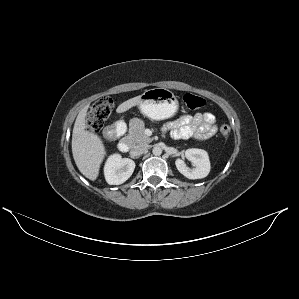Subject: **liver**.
I'll return each mask as SVG.
<instances>
[{"instance_id":"obj_1","label":"liver","mask_w":299,"mask_h":299,"mask_svg":"<svg viewBox=\"0 0 299 299\" xmlns=\"http://www.w3.org/2000/svg\"><path fill=\"white\" fill-rule=\"evenodd\" d=\"M141 96H136L120 104L118 113L136 106ZM89 106H85L78 114L72 133V153L79 171L94 181L98 177L100 165L106 155L103 141L96 134L86 129V114Z\"/></svg>"}]
</instances>
